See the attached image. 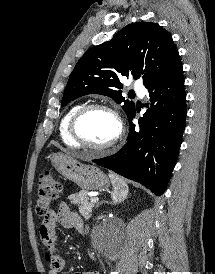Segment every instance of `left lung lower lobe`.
Segmentation results:
<instances>
[{"label":"left lung lower lobe","instance_id":"0a47b994","mask_svg":"<svg viewBox=\"0 0 215 274\" xmlns=\"http://www.w3.org/2000/svg\"><path fill=\"white\" fill-rule=\"evenodd\" d=\"M146 88L151 108L139 119V128L132 124L134 111L128 117L127 143L117 153L93 162L141 183L160 196L177 161L185 128L186 94L182 65Z\"/></svg>","mask_w":215,"mask_h":274}]
</instances>
